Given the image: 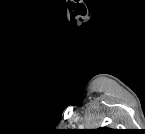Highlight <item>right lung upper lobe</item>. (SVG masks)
I'll use <instances>...</instances> for the list:
<instances>
[{
    "instance_id": "cb5924a9",
    "label": "right lung upper lobe",
    "mask_w": 145,
    "mask_h": 134,
    "mask_svg": "<svg viewBox=\"0 0 145 134\" xmlns=\"http://www.w3.org/2000/svg\"><path fill=\"white\" fill-rule=\"evenodd\" d=\"M111 129L109 128H99L98 131L100 132H106V131H110Z\"/></svg>"
}]
</instances>
